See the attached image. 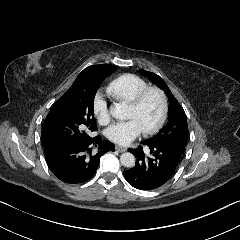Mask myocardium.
Returning <instances> with one entry per match:
<instances>
[{"label": "myocardium", "mask_w": 240, "mask_h": 240, "mask_svg": "<svg viewBox=\"0 0 240 240\" xmlns=\"http://www.w3.org/2000/svg\"><path fill=\"white\" fill-rule=\"evenodd\" d=\"M149 93H155L159 98L160 116L157 123L153 127L146 130H142L143 134L145 135H152L157 133L163 127L167 118V113H168V101H167L166 95L158 87H145L141 89L133 98V100L127 105V107L130 109H137L141 105L145 96Z\"/></svg>", "instance_id": "obj_1"}]
</instances>
